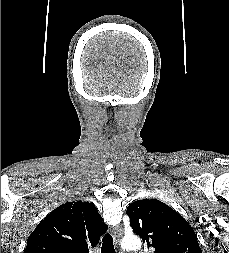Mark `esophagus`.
Here are the masks:
<instances>
[{"label": "esophagus", "instance_id": "34e87169", "mask_svg": "<svg viewBox=\"0 0 229 253\" xmlns=\"http://www.w3.org/2000/svg\"><path fill=\"white\" fill-rule=\"evenodd\" d=\"M123 235V229L122 227L118 226L114 229L113 236H114V241L115 244L118 246L120 245L121 239Z\"/></svg>", "mask_w": 229, "mask_h": 253}]
</instances>
